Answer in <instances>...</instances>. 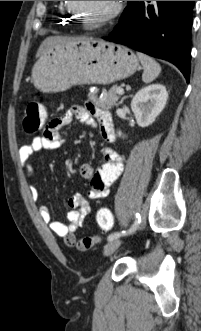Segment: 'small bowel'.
Segmentation results:
<instances>
[{
    "instance_id": "small-bowel-1",
    "label": "small bowel",
    "mask_w": 201,
    "mask_h": 331,
    "mask_svg": "<svg viewBox=\"0 0 201 331\" xmlns=\"http://www.w3.org/2000/svg\"><path fill=\"white\" fill-rule=\"evenodd\" d=\"M74 119L89 126L98 127L101 137L106 142H114V125L111 114L108 111L98 108L91 103L86 104V106H71L64 114L52 119L41 136L34 137L29 144L20 147V165L29 181L32 182L35 177L31 161L32 155L38 151H51L61 148L64 144L61 129L69 125ZM102 156L103 163L95 172L89 164L80 166V176L89 180L90 189L87 197L81 194H74L69 198L66 223L53 220L47 205L42 204L39 206V214L42 220L48 223L52 232L63 238L65 244L69 247L76 246L79 240L76 232L82 227L86 216L90 213L89 199L105 197L111 184L122 173V159L115 150L111 147H105L102 150ZM30 192L34 200L39 199L40 192L35 185H30Z\"/></svg>"
}]
</instances>
